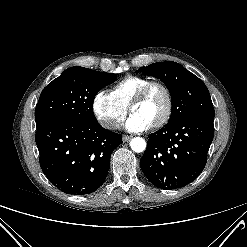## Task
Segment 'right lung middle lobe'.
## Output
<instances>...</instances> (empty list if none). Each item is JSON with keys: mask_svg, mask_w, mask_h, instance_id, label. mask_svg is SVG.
<instances>
[{"mask_svg": "<svg viewBox=\"0 0 247 247\" xmlns=\"http://www.w3.org/2000/svg\"><path fill=\"white\" fill-rule=\"evenodd\" d=\"M116 74L74 66L66 69L42 91L35 109L36 126L59 119L96 120L93 101Z\"/></svg>", "mask_w": 247, "mask_h": 247, "instance_id": "dd1d6c3e", "label": "right lung middle lobe"}]
</instances>
